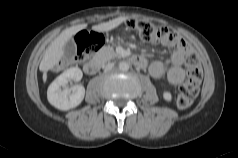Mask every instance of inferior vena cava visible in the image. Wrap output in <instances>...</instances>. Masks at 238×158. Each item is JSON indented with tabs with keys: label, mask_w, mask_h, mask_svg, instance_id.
Masks as SVG:
<instances>
[{
	"label": "inferior vena cava",
	"mask_w": 238,
	"mask_h": 158,
	"mask_svg": "<svg viewBox=\"0 0 238 158\" xmlns=\"http://www.w3.org/2000/svg\"><path fill=\"white\" fill-rule=\"evenodd\" d=\"M113 67H114V64H113V63H108V64L104 67V70H105V71H109V70H111Z\"/></svg>",
	"instance_id": "obj_1"
}]
</instances>
